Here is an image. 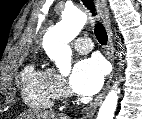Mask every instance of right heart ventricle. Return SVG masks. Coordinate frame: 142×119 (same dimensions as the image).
I'll return each mask as SVG.
<instances>
[{
	"instance_id": "1",
	"label": "right heart ventricle",
	"mask_w": 142,
	"mask_h": 119,
	"mask_svg": "<svg viewBox=\"0 0 142 119\" xmlns=\"http://www.w3.org/2000/svg\"><path fill=\"white\" fill-rule=\"evenodd\" d=\"M23 99L37 108H50L56 97L53 74L47 69L28 66L23 73Z\"/></svg>"
}]
</instances>
